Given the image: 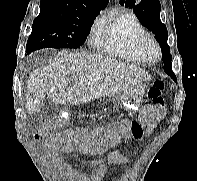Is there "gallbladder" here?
Returning a JSON list of instances; mask_svg holds the SVG:
<instances>
[{
  "label": "gallbladder",
  "instance_id": "gallbladder-1",
  "mask_svg": "<svg viewBox=\"0 0 197 181\" xmlns=\"http://www.w3.org/2000/svg\"><path fill=\"white\" fill-rule=\"evenodd\" d=\"M53 107H54V103L52 102V100L49 99L48 97H45L41 101V109L39 112L41 113V115H46L47 112L51 110Z\"/></svg>",
  "mask_w": 197,
  "mask_h": 181
}]
</instances>
